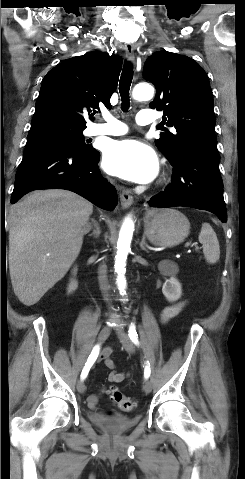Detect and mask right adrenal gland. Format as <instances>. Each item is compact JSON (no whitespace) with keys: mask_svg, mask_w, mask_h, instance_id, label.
Returning a JSON list of instances; mask_svg holds the SVG:
<instances>
[{"mask_svg":"<svg viewBox=\"0 0 245 479\" xmlns=\"http://www.w3.org/2000/svg\"><path fill=\"white\" fill-rule=\"evenodd\" d=\"M91 221H92L94 229H93V232L89 234L88 236L90 237L93 236L94 238H98L101 234L100 226L94 219H92Z\"/></svg>","mask_w":245,"mask_h":479,"instance_id":"obj_1","label":"right adrenal gland"}]
</instances>
